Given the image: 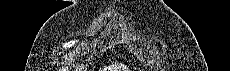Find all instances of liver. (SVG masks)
I'll list each match as a JSON object with an SVG mask.
<instances>
[{"instance_id":"1","label":"liver","mask_w":230,"mask_h":71,"mask_svg":"<svg viewBox=\"0 0 230 71\" xmlns=\"http://www.w3.org/2000/svg\"><path fill=\"white\" fill-rule=\"evenodd\" d=\"M79 69H83L84 70V69H87V68H86V66L81 65V67ZM106 69H114V70H109V71H118V70H115V69H119V68L114 67V66L113 67H109V68L105 67L103 71H107Z\"/></svg>"}]
</instances>
